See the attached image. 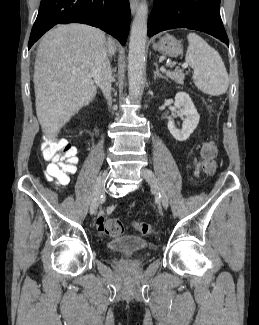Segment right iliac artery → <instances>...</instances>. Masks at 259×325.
<instances>
[{"label": "right iliac artery", "instance_id": "82829eb1", "mask_svg": "<svg viewBox=\"0 0 259 325\" xmlns=\"http://www.w3.org/2000/svg\"><path fill=\"white\" fill-rule=\"evenodd\" d=\"M94 187H95V189H94L95 191H94V192L96 193V192H97V191H96V190H97V189H96L97 186L95 185Z\"/></svg>", "mask_w": 259, "mask_h": 325}]
</instances>
